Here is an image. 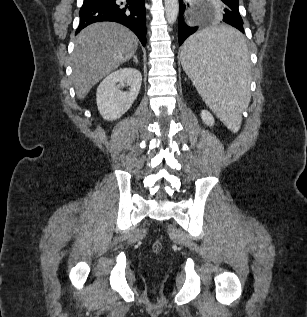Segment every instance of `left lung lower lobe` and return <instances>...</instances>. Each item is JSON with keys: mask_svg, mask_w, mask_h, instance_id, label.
Instances as JSON below:
<instances>
[{"mask_svg": "<svg viewBox=\"0 0 307 317\" xmlns=\"http://www.w3.org/2000/svg\"><path fill=\"white\" fill-rule=\"evenodd\" d=\"M221 8L223 19L222 22L229 24L237 28L240 32L244 33L243 20L240 16L238 8L228 0H218ZM188 4H184L183 0H180L179 6V45L182 43L200 26H195L191 21L185 18V12L188 9ZM239 32V33H240ZM233 40H227L222 44V51L228 56H235L242 48L243 35Z\"/></svg>", "mask_w": 307, "mask_h": 317, "instance_id": "0a47b994", "label": "left lung lower lobe"}]
</instances>
